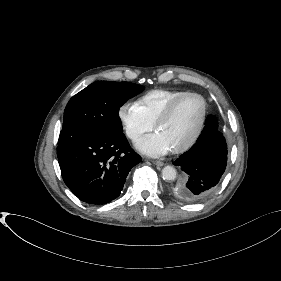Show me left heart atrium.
<instances>
[{
  "label": "left heart atrium",
  "mask_w": 281,
  "mask_h": 281,
  "mask_svg": "<svg viewBox=\"0 0 281 281\" xmlns=\"http://www.w3.org/2000/svg\"><path fill=\"white\" fill-rule=\"evenodd\" d=\"M137 148L144 154L150 156H161L171 149L159 133L150 134L137 143Z\"/></svg>",
  "instance_id": "obj_1"
}]
</instances>
